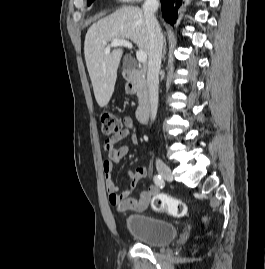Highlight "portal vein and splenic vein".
Masks as SVG:
<instances>
[{
  "label": "portal vein and splenic vein",
  "instance_id": "obj_1",
  "mask_svg": "<svg viewBox=\"0 0 265 269\" xmlns=\"http://www.w3.org/2000/svg\"><path fill=\"white\" fill-rule=\"evenodd\" d=\"M117 46L128 47L130 49L133 48V45L131 42L124 39H116L112 41L111 44L107 45L105 49V53L108 54L112 47H117ZM136 57L140 63H145L147 61V54L143 50H138L136 52Z\"/></svg>",
  "mask_w": 265,
  "mask_h": 269
}]
</instances>
